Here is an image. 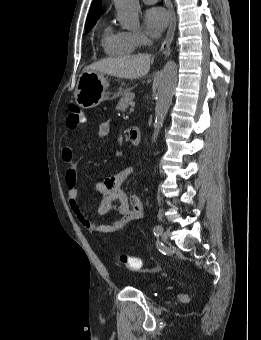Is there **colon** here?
<instances>
[{
    "label": "colon",
    "mask_w": 261,
    "mask_h": 340,
    "mask_svg": "<svg viewBox=\"0 0 261 340\" xmlns=\"http://www.w3.org/2000/svg\"><path fill=\"white\" fill-rule=\"evenodd\" d=\"M85 115L77 105H70L67 110L66 124L68 128L75 129L85 122ZM120 261L124 267L129 270H138L142 261L139 257L122 254Z\"/></svg>",
    "instance_id": "5ec220e1"
}]
</instances>
